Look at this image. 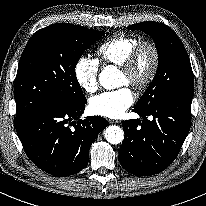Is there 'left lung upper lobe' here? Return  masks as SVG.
Here are the masks:
<instances>
[{
  "instance_id": "1",
  "label": "left lung upper lobe",
  "mask_w": 206,
  "mask_h": 206,
  "mask_svg": "<svg viewBox=\"0 0 206 206\" xmlns=\"http://www.w3.org/2000/svg\"><path fill=\"white\" fill-rule=\"evenodd\" d=\"M128 29L148 33L158 50L155 77L134 108L146 109L171 99H192L194 75L185 47L176 33L159 22H141Z\"/></svg>"
}]
</instances>
